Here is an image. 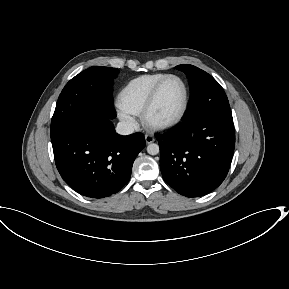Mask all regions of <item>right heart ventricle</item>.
I'll use <instances>...</instances> for the list:
<instances>
[{"label": "right heart ventricle", "instance_id": "right-heart-ventricle-1", "mask_svg": "<svg viewBox=\"0 0 289 289\" xmlns=\"http://www.w3.org/2000/svg\"><path fill=\"white\" fill-rule=\"evenodd\" d=\"M168 74L151 73L130 80L118 95V104L132 115H140L155 84Z\"/></svg>", "mask_w": 289, "mask_h": 289}]
</instances>
